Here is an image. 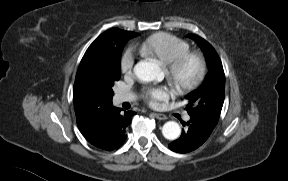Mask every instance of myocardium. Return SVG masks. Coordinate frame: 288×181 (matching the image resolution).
Listing matches in <instances>:
<instances>
[{"label": "myocardium", "instance_id": "obj_1", "mask_svg": "<svg viewBox=\"0 0 288 181\" xmlns=\"http://www.w3.org/2000/svg\"><path fill=\"white\" fill-rule=\"evenodd\" d=\"M189 61L196 64V72L189 80H182L179 77L181 68ZM206 73V60L204 56L196 51L184 52L166 64V74L179 91H190L197 87L203 80Z\"/></svg>", "mask_w": 288, "mask_h": 181}]
</instances>
